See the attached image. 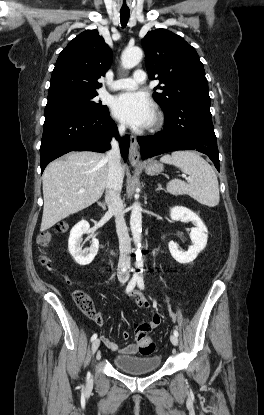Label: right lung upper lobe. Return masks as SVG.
I'll use <instances>...</instances> for the list:
<instances>
[{
  "label": "right lung upper lobe",
  "instance_id": "cb5924a9",
  "mask_svg": "<svg viewBox=\"0 0 264 415\" xmlns=\"http://www.w3.org/2000/svg\"><path fill=\"white\" fill-rule=\"evenodd\" d=\"M112 62V52L96 30L74 38L59 54L53 69L48 97L65 92H93L101 87Z\"/></svg>",
  "mask_w": 264,
  "mask_h": 415
}]
</instances>
